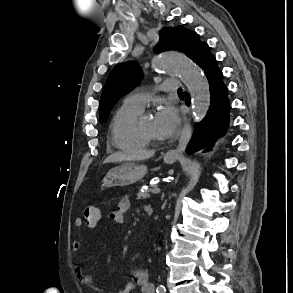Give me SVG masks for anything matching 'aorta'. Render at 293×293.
Here are the masks:
<instances>
[{"label": "aorta", "instance_id": "obj_1", "mask_svg": "<svg viewBox=\"0 0 293 293\" xmlns=\"http://www.w3.org/2000/svg\"><path fill=\"white\" fill-rule=\"evenodd\" d=\"M152 64L158 71L179 75L190 92L193 119L195 122L201 121L209 109L210 91L200 68L177 52H163L154 57Z\"/></svg>", "mask_w": 293, "mask_h": 293}]
</instances>
